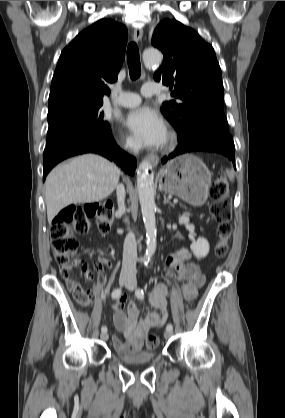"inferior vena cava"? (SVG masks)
<instances>
[{
	"instance_id": "602c4592",
	"label": "inferior vena cava",
	"mask_w": 285,
	"mask_h": 418,
	"mask_svg": "<svg viewBox=\"0 0 285 418\" xmlns=\"http://www.w3.org/2000/svg\"><path fill=\"white\" fill-rule=\"evenodd\" d=\"M117 200H118V211L120 213L125 212V189L122 184L117 186ZM136 262H137V243L135 235L129 232L124 241L123 247V261L121 274L123 275H136Z\"/></svg>"
}]
</instances>
